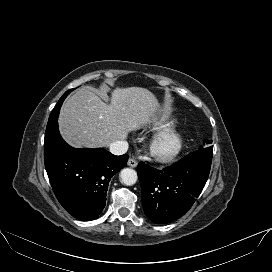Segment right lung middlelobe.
Segmentation results:
<instances>
[{
	"mask_svg": "<svg viewBox=\"0 0 272 272\" xmlns=\"http://www.w3.org/2000/svg\"><path fill=\"white\" fill-rule=\"evenodd\" d=\"M72 90H74V89L68 90L67 92L64 93L65 98H66V96H67ZM64 95H63V96H64ZM56 113H57L56 110L53 109V111H52V113H51V115H50V117H49L47 126L52 125V124L54 123V121L57 120L58 114L55 115Z\"/></svg>",
	"mask_w": 272,
	"mask_h": 272,
	"instance_id": "dd1d6c3e",
	"label": "right lung middle lobe"
}]
</instances>
